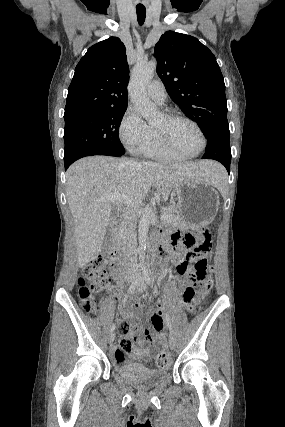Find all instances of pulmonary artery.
Wrapping results in <instances>:
<instances>
[{"label":"pulmonary artery","instance_id":"e3ab8cb5","mask_svg":"<svg viewBox=\"0 0 285 427\" xmlns=\"http://www.w3.org/2000/svg\"><path fill=\"white\" fill-rule=\"evenodd\" d=\"M147 94L156 103L163 105L166 101L167 94L164 87L158 79L153 80L147 86Z\"/></svg>","mask_w":285,"mask_h":427}]
</instances>
